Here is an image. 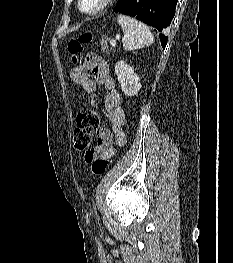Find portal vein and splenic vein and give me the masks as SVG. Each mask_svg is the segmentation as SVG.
Masks as SVG:
<instances>
[{
    "instance_id": "obj_1",
    "label": "portal vein and splenic vein",
    "mask_w": 233,
    "mask_h": 263,
    "mask_svg": "<svg viewBox=\"0 0 233 263\" xmlns=\"http://www.w3.org/2000/svg\"><path fill=\"white\" fill-rule=\"evenodd\" d=\"M110 44H111V46L114 47V46H116V41L114 39H111Z\"/></svg>"
}]
</instances>
